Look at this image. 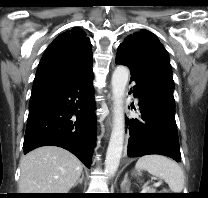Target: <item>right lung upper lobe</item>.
<instances>
[{
  "label": "right lung upper lobe",
  "mask_w": 208,
  "mask_h": 198,
  "mask_svg": "<svg viewBox=\"0 0 208 198\" xmlns=\"http://www.w3.org/2000/svg\"><path fill=\"white\" fill-rule=\"evenodd\" d=\"M92 71L89 38L80 28L60 34L46 49L31 96L64 88Z\"/></svg>",
  "instance_id": "obj_1"
}]
</instances>
